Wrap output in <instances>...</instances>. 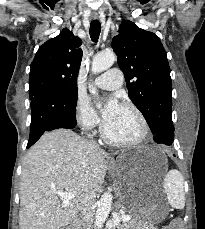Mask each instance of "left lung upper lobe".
I'll return each instance as SVG.
<instances>
[{"label": "left lung upper lobe", "mask_w": 205, "mask_h": 229, "mask_svg": "<svg viewBox=\"0 0 205 229\" xmlns=\"http://www.w3.org/2000/svg\"><path fill=\"white\" fill-rule=\"evenodd\" d=\"M128 95L142 112L154 141L171 145L174 139L170 68L159 37L124 20L112 40Z\"/></svg>", "instance_id": "1"}]
</instances>
